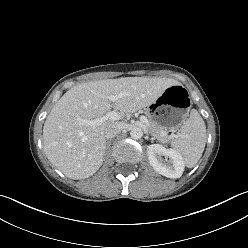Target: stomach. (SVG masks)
<instances>
[{"instance_id": "obj_1", "label": "stomach", "mask_w": 248, "mask_h": 248, "mask_svg": "<svg viewBox=\"0 0 248 248\" xmlns=\"http://www.w3.org/2000/svg\"><path fill=\"white\" fill-rule=\"evenodd\" d=\"M191 101L187 89L176 84L168 87L147 108V117L169 131H177L186 121Z\"/></svg>"}]
</instances>
